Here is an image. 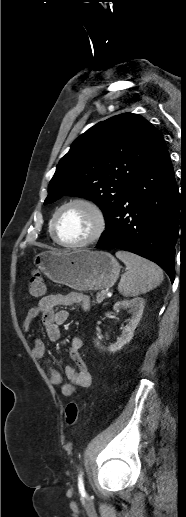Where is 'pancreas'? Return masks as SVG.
Wrapping results in <instances>:
<instances>
[{
    "label": "pancreas",
    "instance_id": "1",
    "mask_svg": "<svg viewBox=\"0 0 186 517\" xmlns=\"http://www.w3.org/2000/svg\"><path fill=\"white\" fill-rule=\"evenodd\" d=\"M106 298V294H104L103 292H98L96 294V302L97 303H101L103 302V300Z\"/></svg>",
    "mask_w": 186,
    "mask_h": 517
}]
</instances>
